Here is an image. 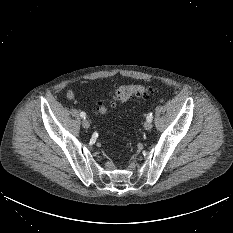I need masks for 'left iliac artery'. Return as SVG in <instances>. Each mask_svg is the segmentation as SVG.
<instances>
[{
  "label": "left iliac artery",
  "instance_id": "1",
  "mask_svg": "<svg viewBox=\"0 0 233 233\" xmlns=\"http://www.w3.org/2000/svg\"><path fill=\"white\" fill-rule=\"evenodd\" d=\"M152 119H153V115H152V113H149L148 115H147V121H152Z\"/></svg>",
  "mask_w": 233,
  "mask_h": 233
}]
</instances>
